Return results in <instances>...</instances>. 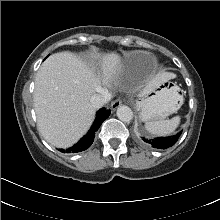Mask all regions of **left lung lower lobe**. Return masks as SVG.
I'll list each match as a JSON object with an SVG mask.
<instances>
[{
	"label": "left lung lower lobe",
	"mask_w": 220,
	"mask_h": 220,
	"mask_svg": "<svg viewBox=\"0 0 220 220\" xmlns=\"http://www.w3.org/2000/svg\"><path fill=\"white\" fill-rule=\"evenodd\" d=\"M182 132H179L178 134L172 136V137H160L156 139H147L145 137H141L140 140L142 143L152 146L153 148L157 149H166L168 147L173 146L178 138L180 137Z\"/></svg>",
	"instance_id": "0a47b994"
}]
</instances>
